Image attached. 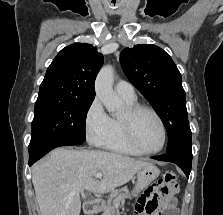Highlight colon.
<instances>
[{"label":"colon","instance_id":"obj_1","mask_svg":"<svg viewBox=\"0 0 223 215\" xmlns=\"http://www.w3.org/2000/svg\"><path fill=\"white\" fill-rule=\"evenodd\" d=\"M164 179L167 183H176L177 181V175L174 172L168 171L164 174ZM156 209V207H153Z\"/></svg>","mask_w":223,"mask_h":215}]
</instances>
